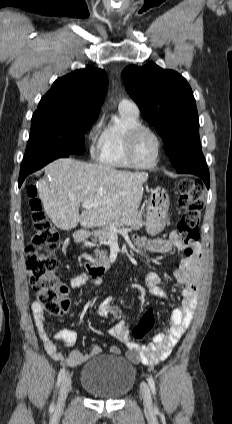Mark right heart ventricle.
I'll use <instances>...</instances> for the list:
<instances>
[{"label":"right heart ventricle","instance_id":"right-heart-ventricle-1","mask_svg":"<svg viewBox=\"0 0 232 424\" xmlns=\"http://www.w3.org/2000/svg\"><path fill=\"white\" fill-rule=\"evenodd\" d=\"M142 125L138 112L119 109L118 118L106 124L99 135L98 162L113 168H130L125 148L128 132Z\"/></svg>","mask_w":232,"mask_h":424}]
</instances>
